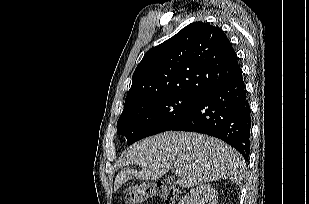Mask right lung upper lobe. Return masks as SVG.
<instances>
[{"mask_svg": "<svg viewBox=\"0 0 309 204\" xmlns=\"http://www.w3.org/2000/svg\"><path fill=\"white\" fill-rule=\"evenodd\" d=\"M240 69L225 33L194 22L145 54L133 73L125 105L167 94L200 96Z\"/></svg>", "mask_w": 309, "mask_h": 204, "instance_id": "obj_1", "label": "right lung upper lobe"}]
</instances>
